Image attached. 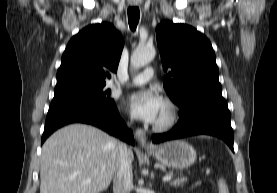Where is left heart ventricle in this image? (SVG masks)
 <instances>
[{
    "instance_id": "b2bd125f",
    "label": "left heart ventricle",
    "mask_w": 277,
    "mask_h": 193,
    "mask_svg": "<svg viewBox=\"0 0 277 193\" xmlns=\"http://www.w3.org/2000/svg\"><path fill=\"white\" fill-rule=\"evenodd\" d=\"M167 114H168V108H167V106L163 103V106H162V108H161V111H160L159 116H158V118H157V120H156L155 123H158V122H161L162 120H164L165 117L167 116Z\"/></svg>"
}]
</instances>
